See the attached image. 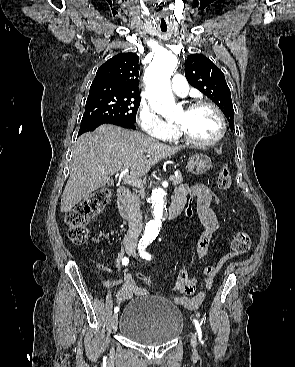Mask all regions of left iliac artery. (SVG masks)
I'll use <instances>...</instances> for the list:
<instances>
[{"label":"left iliac artery","instance_id":"44dca946","mask_svg":"<svg viewBox=\"0 0 295 367\" xmlns=\"http://www.w3.org/2000/svg\"><path fill=\"white\" fill-rule=\"evenodd\" d=\"M139 254L145 260H151L152 259L151 254L146 252L145 247H139ZM193 321H194V324H195V327H196V330H197L198 339L201 343H203V341H202V330H201L200 324L196 319H194Z\"/></svg>","mask_w":295,"mask_h":367}]
</instances>
